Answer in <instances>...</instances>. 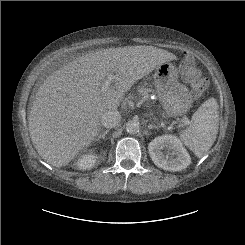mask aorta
<instances>
[{"label": "aorta", "instance_id": "1", "mask_svg": "<svg viewBox=\"0 0 245 245\" xmlns=\"http://www.w3.org/2000/svg\"><path fill=\"white\" fill-rule=\"evenodd\" d=\"M125 128L129 134H137L140 130V124L137 121L130 120L126 123Z\"/></svg>", "mask_w": 245, "mask_h": 245}]
</instances>
